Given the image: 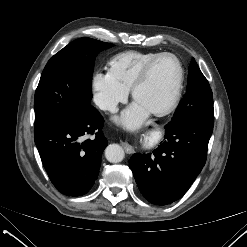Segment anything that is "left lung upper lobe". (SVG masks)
<instances>
[{"label":"left lung upper lobe","instance_id":"obj_1","mask_svg":"<svg viewBox=\"0 0 247 247\" xmlns=\"http://www.w3.org/2000/svg\"><path fill=\"white\" fill-rule=\"evenodd\" d=\"M190 116L214 122L212 90L194 58L189 67L186 94L166 126H173L177 121Z\"/></svg>","mask_w":247,"mask_h":247}]
</instances>
